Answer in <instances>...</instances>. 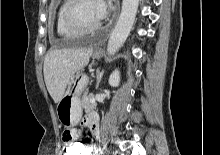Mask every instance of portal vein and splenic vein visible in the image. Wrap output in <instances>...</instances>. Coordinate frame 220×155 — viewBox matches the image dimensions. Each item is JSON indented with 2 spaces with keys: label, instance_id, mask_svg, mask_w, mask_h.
Returning a JSON list of instances; mask_svg holds the SVG:
<instances>
[{
  "label": "portal vein and splenic vein",
  "instance_id": "1",
  "mask_svg": "<svg viewBox=\"0 0 220 155\" xmlns=\"http://www.w3.org/2000/svg\"><path fill=\"white\" fill-rule=\"evenodd\" d=\"M90 102H91V103H95V99H94V98H92Z\"/></svg>",
  "mask_w": 220,
  "mask_h": 155
}]
</instances>
